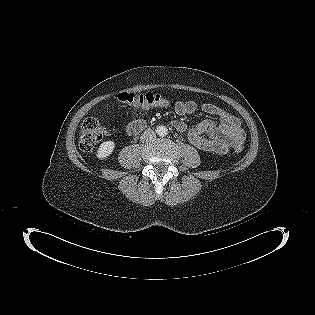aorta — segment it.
I'll return each mask as SVG.
<instances>
[{"label": "aorta", "mask_w": 315, "mask_h": 315, "mask_svg": "<svg viewBox=\"0 0 315 315\" xmlns=\"http://www.w3.org/2000/svg\"><path fill=\"white\" fill-rule=\"evenodd\" d=\"M166 131H167V129L162 127V132L165 133Z\"/></svg>", "instance_id": "aorta-1"}]
</instances>
